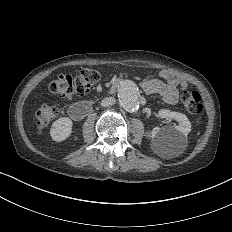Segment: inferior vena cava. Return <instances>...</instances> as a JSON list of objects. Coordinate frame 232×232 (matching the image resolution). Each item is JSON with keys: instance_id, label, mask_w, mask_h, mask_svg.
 Instances as JSON below:
<instances>
[{"instance_id": "inferior-vena-cava-1", "label": "inferior vena cava", "mask_w": 232, "mask_h": 232, "mask_svg": "<svg viewBox=\"0 0 232 232\" xmlns=\"http://www.w3.org/2000/svg\"><path fill=\"white\" fill-rule=\"evenodd\" d=\"M115 103V98L113 97H105L102 101H101V105L102 106H111L112 104Z\"/></svg>"}]
</instances>
